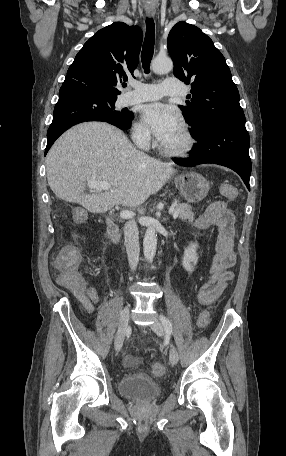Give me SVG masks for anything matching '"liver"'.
I'll return each instance as SVG.
<instances>
[{"label": "liver", "instance_id": "1", "mask_svg": "<svg viewBox=\"0 0 286 456\" xmlns=\"http://www.w3.org/2000/svg\"><path fill=\"white\" fill-rule=\"evenodd\" d=\"M174 172L170 163L137 150L121 130L101 122L82 123L69 129L46 157L47 180L54 194L92 213H105L119 204L141 205ZM88 180L109 182L111 189L86 194Z\"/></svg>", "mask_w": 286, "mask_h": 456}]
</instances>
